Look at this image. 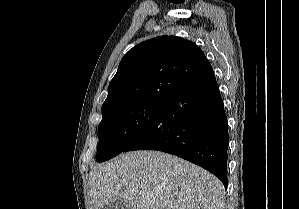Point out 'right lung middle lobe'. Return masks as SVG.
I'll return each instance as SVG.
<instances>
[{"label": "right lung middle lobe", "mask_w": 299, "mask_h": 209, "mask_svg": "<svg viewBox=\"0 0 299 209\" xmlns=\"http://www.w3.org/2000/svg\"><path fill=\"white\" fill-rule=\"evenodd\" d=\"M163 103L136 102L102 112L96 160L103 162L123 152L147 128Z\"/></svg>", "instance_id": "1"}]
</instances>
